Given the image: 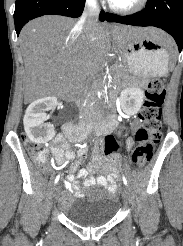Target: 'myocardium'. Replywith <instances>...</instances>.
<instances>
[{
  "instance_id": "obj_1",
  "label": "myocardium",
  "mask_w": 183,
  "mask_h": 246,
  "mask_svg": "<svg viewBox=\"0 0 183 246\" xmlns=\"http://www.w3.org/2000/svg\"><path fill=\"white\" fill-rule=\"evenodd\" d=\"M147 1L148 0H136L133 4L129 6H120L113 1H110L109 7L112 11L116 13L129 15L141 11L145 7Z\"/></svg>"
}]
</instances>
